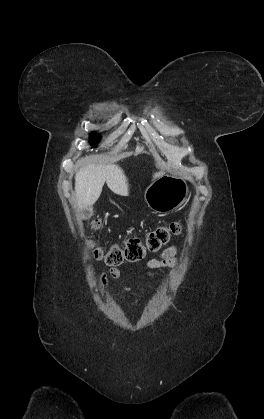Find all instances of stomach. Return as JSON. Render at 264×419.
I'll list each match as a JSON object with an SVG mask.
<instances>
[{"mask_svg":"<svg viewBox=\"0 0 264 419\" xmlns=\"http://www.w3.org/2000/svg\"><path fill=\"white\" fill-rule=\"evenodd\" d=\"M188 195V185L179 176L162 175L145 191L148 207L157 213H169L179 208Z\"/></svg>","mask_w":264,"mask_h":419,"instance_id":"stomach-1","label":"stomach"}]
</instances>
